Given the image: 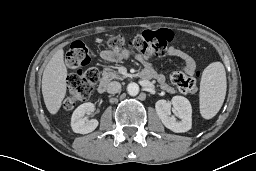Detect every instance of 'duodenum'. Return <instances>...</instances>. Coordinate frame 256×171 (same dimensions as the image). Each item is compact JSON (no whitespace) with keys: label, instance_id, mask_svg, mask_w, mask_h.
I'll return each mask as SVG.
<instances>
[{"label":"duodenum","instance_id":"duodenum-1","mask_svg":"<svg viewBox=\"0 0 256 171\" xmlns=\"http://www.w3.org/2000/svg\"><path fill=\"white\" fill-rule=\"evenodd\" d=\"M107 85H108V80L107 79H102L97 87V91L98 93H104L107 89Z\"/></svg>","mask_w":256,"mask_h":171}]
</instances>
